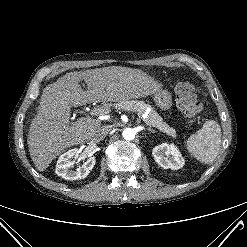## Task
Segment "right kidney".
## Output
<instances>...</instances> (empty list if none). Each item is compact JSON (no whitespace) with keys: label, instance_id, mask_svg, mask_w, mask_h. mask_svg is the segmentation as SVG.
<instances>
[{"label":"right kidney","instance_id":"right-kidney-1","mask_svg":"<svg viewBox=\"0 0 247 247\" xmlns=\"http://www.w3.org/2000/svg\"><path fill=\"white\" fill-rule=\"evenodd\" d=\"M79 150L74 148L62 154L56 165V174L66 180H77L87 177L95 165V157H89L82 167L72 170L74 160L79 157Z\"/></svg>","mask_w":247,"mask_h":247}]
</instances>
